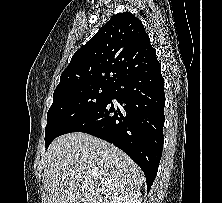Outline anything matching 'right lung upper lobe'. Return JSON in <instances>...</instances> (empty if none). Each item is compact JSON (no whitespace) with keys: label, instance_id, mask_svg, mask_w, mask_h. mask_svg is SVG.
I'll return each instance as SVG.
<instances>
[{"label":"right lung upper lobe","instance_id":"cb5924a9","mask_svg":"<svg viewBox=\"0 0 222 203\" xmlns=\"http://www.w3.org/2000/svg\"><path fill=\"white\" fill-rule=\"evenodd\" d=\"M155 59L142 22L130 12L118 13L75 52L55 91L84 85L111 87Z\"/></svg>","mask_w":222,"mask_h":203}]
</instances>
